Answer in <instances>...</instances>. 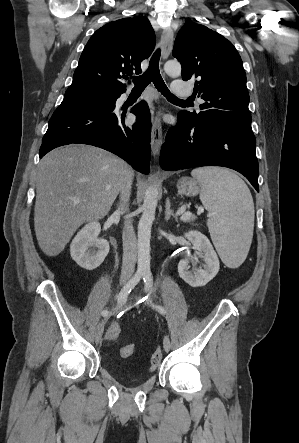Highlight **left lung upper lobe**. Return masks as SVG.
I'll list each match as a JSON object with an SVG mask.
<instances>
[{
  "mask_svg": "<svg viewBox=\"0 0 299 443\" xmlns=\"http://www.w3.org/2000/svg\"><path fill=\"white\" fill-rule=\"evenodd\" d=\"M173 56L182 65L183 80H198L195 91L204 100L199 113L181 111L188 119L251 125L246 74L229 40L204 25L187 23L176 37Z\"/></svg>",
  "mask_w": 299,
  "mask_h": 443,
  "instance_id": "5c2ea615",
  "label": "left lung upper lobe"
}]
</instances>
